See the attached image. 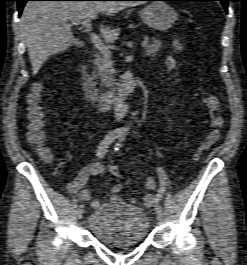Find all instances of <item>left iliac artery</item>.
Wrapping results in <instances>:
<instances>
[{
  "label": "left iliac artery",
  "instance_id": "obj_1",
  "mask_svg": "<svg viewBox=\"0 0 247 265\" xmlns=\"http://www.w3.org/2000/svg\"><path fill=\"white\" fill-rule=\"evenodd\" d=\"M122 141H123V137H121L119 139V142L116 143V145L114 147L115 151H118L119 148L122 146V144H121ZM157 172H158V175H159V178H160L161 187H160V189L158 191V194L156 195L155 204H156V207H161L159 205V203L161 201L162 195H163L164 190H165V185L167 183V176L165 174V171L161 167L157 168Z\"/></svg>",
  "mask_w": 247,
  "mask_h": 265
}]
</instances>
